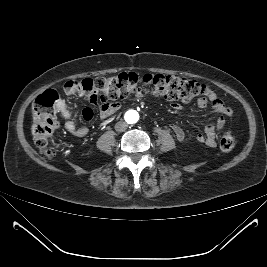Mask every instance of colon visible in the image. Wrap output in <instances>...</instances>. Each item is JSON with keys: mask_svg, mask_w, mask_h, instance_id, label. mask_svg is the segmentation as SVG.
I'll return each mask as SVG.
<instances>
[{"mask_svg": "<svg viewBox=\"0 0 267 267\" xmlns=\"http://www.w3.org/2000/svg\"><path fill=\"white\" fill-rule=\"evenodd\" d=\"M85 90L92 102L102 104L126 98L130 95L164 98L170 102L189 101L195 97L204 96L209 88L196 80L163 74L139 75L134 72H123L115 76L83 79L74 82ZM59 95L54 90L42 93L34 102L31 127L35 144L46 157L51 158L54 150L50 146V139L58 126L56 106ZM237 138L231 132H225L220 140L223 151L232 150Z\"/></svg>", "mask_w": 267, "mask_h": 267, "instance_id": "obj_1", "label": "colon"}]
</instances>
